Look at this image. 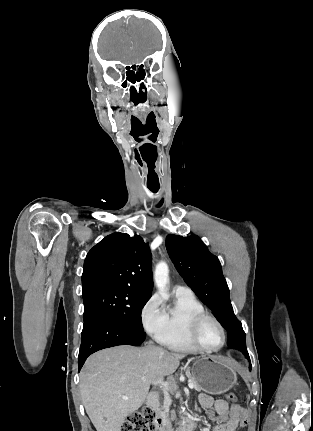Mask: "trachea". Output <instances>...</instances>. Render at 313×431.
I'll list each match as a JSON object with an SVG mask.
<instances>
[{
    "mask_svg": "<svg viewBox=\"0 0 313 431\" xmlns=\"http://www.w3.org/2000/svg\"><path fill=\"white\" fill-rule=\"evenodd\" d=\"M149 190L156 193L159 190V186H148Z\"/></svg>",
    "mask_w": 313,
    "mask_h": 431,
    "instance_id": "obj_1",
    "label": "trachea"
}]
</instances>
